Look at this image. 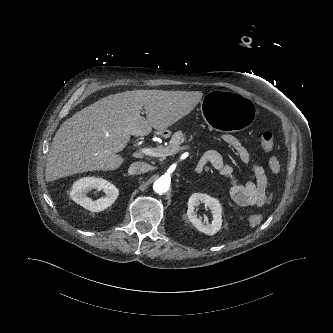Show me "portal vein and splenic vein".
<instances>
[{
    "label": "portal vein and splenic vein",
    "mask_w": 333,
    "mask_h": 333,
    "mask_svg": "<svg viewBox=\"0 0 333 333\" xmlns=\"http://www.w3.org/2000/svg\"><path fill=\"white\" fill-rule=\"evenodd\" d=\"M139 153L151 157H166L173 154L174 152L169 151L168 149L162 146H159L157 148H142L139 150Z\"/></svg>",
    "instance_id": "1"
}]
</instances>
